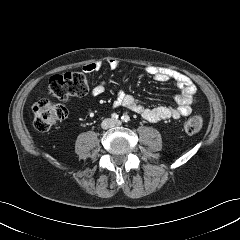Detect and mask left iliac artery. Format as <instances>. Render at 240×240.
<instances>
[{
	"mask_svg": "<svg viewBox=\"0 0 240 240\" xmlns=\"http://www.w3.org/2000/svg\"><path fill=\"white\" fill-rule=\"evenodd\" d=\"M121 119H122V121L125 122V123H127V122L130 121V117H129L128 115H123V116L121 117Z\"/></svg>",
	"mask_w": 240,
	"mask_h": 240,
	"instance_id": "1",
	"label": "left iliac artery"
}]
</instances>
